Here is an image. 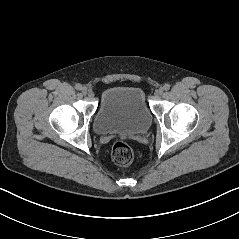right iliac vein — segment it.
Listing matches in <instances>:
<instances>
[{"label":"right iliac vein","mask_w":239,"mask_h":239,"mask_svg":"<svg viewBox=\"0 0 239 239\" xmlns=\"http://www.w3.org/2000/svg\"><path fill=\"white\" fill-rule=\"evenodd\" d=\"M81 92L83 93V95H86V94L88 93V90H87L86 87H83V88L81 89Z\"/></svg>","instance_id":"right-iliac-vein-1"}]
</instances>
